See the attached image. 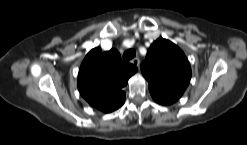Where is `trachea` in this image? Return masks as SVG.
<instances>
[{"mask_svg": "<svg viewBox=\"0 0 247 145\" xmlns=\"http://www.w3.org/2000/svg\"><path fill=\"white\" fill-rule=\"evenodd\" d=\"M136 52L134 49H129L127 50L124 54H123V59L124 61L128 62L130 61L132 58H134Z\"/></svg>", "mask_w": 247, "mask_h": 145, "instance_id": "obj_1", "label": "trachea"}]
</instances>
